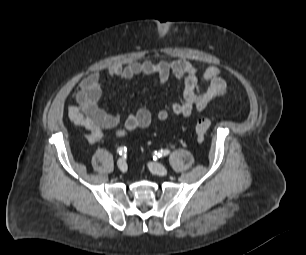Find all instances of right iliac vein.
I'll use <instances>...</instances> for the list:
<instances>
[{
	"label": "right iliac vein",
	"instance_id": "63e3f726",
	"mask_svg": "<svg viewBox=\"0 0 306 255\" xmlns=\"http://www.w3.org/2000/svg\"><path fill=\"white\" fill-rule=\"evenodd\" d=\"M117 166H118L119 170L122 171V172H125L127 170L126 161L122 158L117 161Z\"/></svg>",
	"mask_w": 306,
	"mask_h": 255
}]
</instances>
